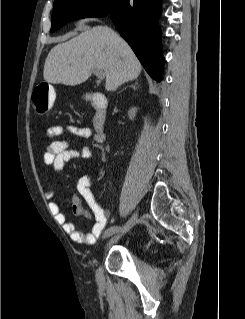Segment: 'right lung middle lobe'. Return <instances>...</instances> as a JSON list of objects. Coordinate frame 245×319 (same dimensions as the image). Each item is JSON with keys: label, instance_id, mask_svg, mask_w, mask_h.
Segmentation results:
<instances>
[{"label": "right lung middle lobe", "instance_id": "dd1d6c3e", "mask_svg": "<svg viewBox=\"0 0 245 319\" xmlns=\"http://www.w3.org/2000/svg\"><path fill=\"white\" fill-rule=\"evenodd\" d=\"M120 0H55L51 32L66 23L85 17H104L117 7Z\"/></svg>", "mask_w": 245, "mask_h": 319}]
</instances>
